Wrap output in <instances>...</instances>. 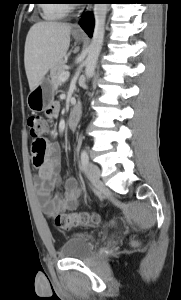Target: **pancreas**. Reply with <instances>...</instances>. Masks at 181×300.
Masks as SVG:
<instances>
[{
  "instance_id": "obj_1",
  "label": "pancreas",
  "mask_w": 181,
  "mask_h": 300,
  "mask_svg": "<svg viewBox=\"0 0 181 300\" xmlns=\"http://www.w3.org/2000/svg\"><path fill=\"white\" fill-rule=\"evenodd\" d=\"M66 71L65 68V60L61 59L58 61L55 66L50 71V77L53 84L54 89L56 90L60 85H62V81L60 80V76L63 72Z\"/></svg>"
}]
</instances>
